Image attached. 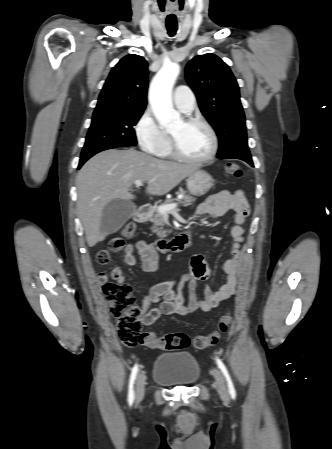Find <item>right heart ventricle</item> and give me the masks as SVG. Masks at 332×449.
I'll return each instance as SVG.
<instances>
[{
  "instance_id": "1",
  "label": "right heart ventricle",
  "mask_w": 332,
  "mask_h": 449,
  "mask_svg": "<svg viewBox=\"0 0 332 449\" xmlns=\"http://www.w3.org/2000/svg\"><path fill=\"white\" fill-rule=\"evenodd\" d=\"M171 148H170V145L169 146H167L165 149H164V151L160 154V156H163V157H167V156H170L171 155Z\"/></svg>"
}]
</instances>
